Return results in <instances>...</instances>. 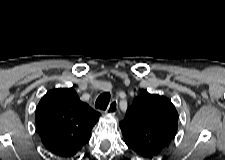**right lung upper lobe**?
<instances>
[{
	"label": "right lung upper lobe",
	"mask_w": 225,
	"mask_h": 160,
	"mask_svg": "<svg viewBox=\"0 0 225 160\" xmlns=\"http://www.w3.org/2000/svg\"><path fill=\"white\" fill-rule=\"evenodd\" d=\"M99 116L73 88H59L40 100L36 124L44 146L56 156L70 158L88 143Z\"/></svg>",
	"instance_id": "1"
}]
</instances>
